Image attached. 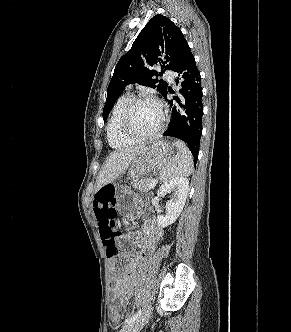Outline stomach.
Listing matches in <instances>:
<instances>
[{"label":"stomach","mask_w":291,"mask_h":332,"mask_svg":"<svg viewBox=\"0 0 291 332\" xmlns=\"http://www.w3.org/2000/svg\"><path fill=\"white\" fill-rule=\"evenodd\" d=\"M174 157L172 147L167 141H155L140 150L129 166V173L132 176H144L149 172L163 169L168 161ZM138 199L134 193L121 189L117 196L116 208L119 213H124L129 204L138 201Z\"/></svg>","instance_id":"stomach-1"}]
</instances>
